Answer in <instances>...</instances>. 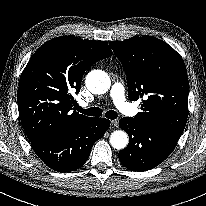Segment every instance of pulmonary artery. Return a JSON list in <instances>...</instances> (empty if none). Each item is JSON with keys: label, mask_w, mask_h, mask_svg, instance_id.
Here are the masks:
<instances>
[{"label": "pulmonary artery", "mask_w": 206, "mask_h": 206, "mask_svg": "<svg viewBox=\"0 0 206 206\" xmlns=\"http://www.w3.org/2000/svg\"><path fill=\"white\" fill-rule=\"evenodd\" d=\"M110 96L115 106L122 112L128 115L133 113L130 104L126 102L124 86L121 83H114L110 89Z\"/></svg>", "instance_id": "pulmonary-artery-1"}]
</instances>
